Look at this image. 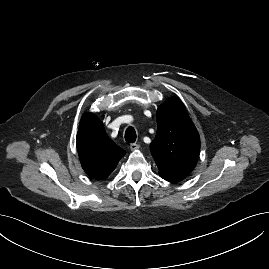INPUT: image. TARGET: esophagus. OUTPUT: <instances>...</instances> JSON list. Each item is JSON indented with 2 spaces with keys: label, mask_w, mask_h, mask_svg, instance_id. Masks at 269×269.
Here are the masks:
<instances>
[{
  "label": "esophagus",
  "mask_w": 269,
  "mask_h": 269,
  "mask_svg": "<svg viewBox=\"0 0 269 269\" xmlns=\"http://www.w3.org/2000/svg\"><path fill=\"white\" fill-rule=\"evenodd\" d=\"M130 149H131L132 151H135V150L139 149V145L136 144V143H132V144H130Z\"/></svg>",
  "instance_id": "esophagus-1"
}]
</instances>
